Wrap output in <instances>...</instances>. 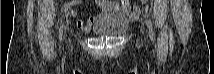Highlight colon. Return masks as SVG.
Segmentation results:
<instances>
[{
	"label": "colon",
	"instance_id": "5ec220e1",
	"mask_svg": "<svg viewBox=\"0 0 214 74\" xmlns=\"http://www.w3.org/2000/svg\"><path fill=\"white\" fill-rule=\"evenodd\" d=\"M146 2H147V0H139V3H142V4H144Z\"/></svg>",
	"mask_w": 214,
	"mask_h": 74
}]
</instances>
